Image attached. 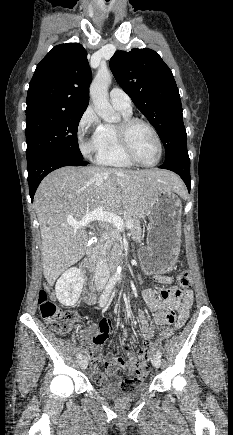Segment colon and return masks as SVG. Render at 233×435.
<instances>
[{
	"label": "colon",
	"mask_w": 233,
	"mask_h": 435,
	"mask_svg": "<svg viewBox=\"0 0 233 435\" xmlns=\"http://www.w3.org/2000/svg\"><path fill=\"white\" fill-rule=\"evenodd\" d=\"M177 282L180 287L188 288L191 284L188 272H181L177 276ZM53 294L54 290L51 286H45L40 290L38 294L40 314L53 332L65 334L69 331L75 319V314L71 310L59 308L52 300ZM147 369L149 370L150 368L147 367ZM134 372L136 376H138L139 370L137 369ZM137 384V378H133L121 383L120 387L124 391H130L135 388Z\"/></svg>",
	"instance_id": "obj_1"
}]
</instances>
